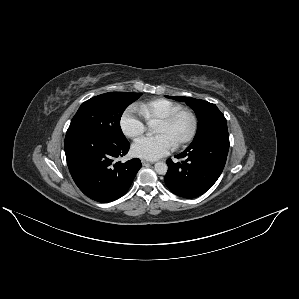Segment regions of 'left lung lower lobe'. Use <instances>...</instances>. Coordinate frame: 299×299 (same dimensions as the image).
I'll list each match as a JSON object with an SVG mask.
<instances>
[{"label": "left lung lower lobe", "instance_id": "obj_1", "mask_svg": "<svg viewBox=\"0 0 299 299\" xmlns=\"http://www.w3.org/2000/svg\"><path fill=\"white\" fill-rule=\"evenodd\" d=\"M229 150L228 132L212 134L178 154L183 159L174 163L167 160L164 181L168 189L181 197L195 198L217 181L226 163Z\"/></svg>", "mask_w": 299, "mask_h": 299}]
</instances>
